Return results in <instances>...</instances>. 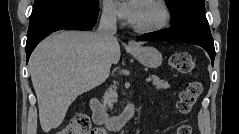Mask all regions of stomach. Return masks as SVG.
I'll list each match as a JSON object with an SVG mask.
<instances>
[{
    "label": "stomach",
    "mask_w": 239,
    "mask_h": 134,
    "mask_svg": "<svg viewBox=\"0 0 239 134\" xmlns=\"http://www.w3.org/2000/svg\"><path fill=\"white\" fill-rule=\"evenodd\" d=\"M130 53L144 66L158 68L162 64V54L152 46L131 48Z\"/></svg>",
    "instance_id": "stomach-1"
}]
</instances>
